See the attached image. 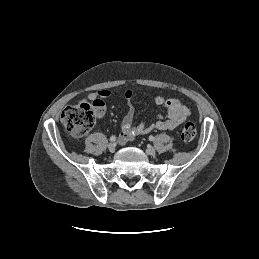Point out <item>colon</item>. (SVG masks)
<instances>
[{
  "instance_id": "colon-1",
  "label": "colon",
  "mask_w": 259,
  "mask_h": 259,
  "mask_svg": "<svg viewBox=\"0 0 259 259\" xmlns=\"http://www.w3.org/2000/svg\"><path fill=\"white\" fill-rule=\"evenodd\" d=\"M61 122L74 136L80 137L88 133L95 123L94 104L81 102L66 107L61 113ZM197 131L193 123H186L182 127L181 137L191 141L196 137Z\"/></svg>"
}]
</instances>
